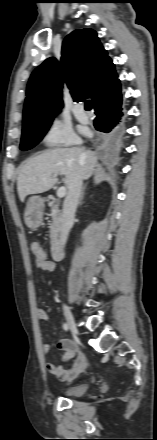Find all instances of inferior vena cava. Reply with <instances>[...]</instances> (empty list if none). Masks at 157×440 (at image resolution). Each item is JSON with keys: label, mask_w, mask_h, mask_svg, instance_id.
Here are the masks:
<instances>
[{"label": "inferior vena cava", "mask_w": 157, "mask_h": 440, "mask_svg": "<svg viewBox=\"0 0 157 440\" xmlns=\"http://www.w3.org/2000/svg\"><path fill=\"white\" fill-rule=\"evenodd\" d=\"M82 191V178L76 175L73 182L68 188V193L63 204L60 230V248L65 245L69 231L73 225L75 211L79 203Z\"/></svg>", "instance_id": "1"}]
</instances>
